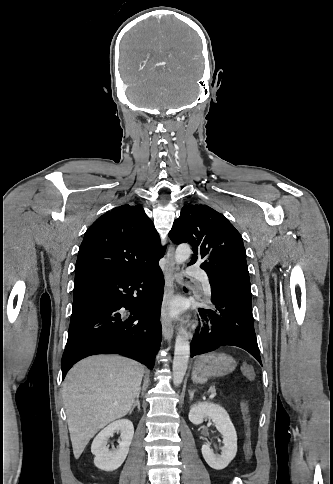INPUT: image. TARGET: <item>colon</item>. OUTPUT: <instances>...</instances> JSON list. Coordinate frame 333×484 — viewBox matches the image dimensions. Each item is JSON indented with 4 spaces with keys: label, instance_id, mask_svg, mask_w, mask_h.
Instances as JSON below:
<instances>
[{
    "label": "colon",
    "instance_id": "1",
    "mask_svg": "<svg viewBox=\"0 0 333 484\" xmlns=\"http://www.w3.org/2000/svg\"><path fill=\"white\" fill-rule=\"evenodd\" d=\"M243 375L249 379L253 380L255 377L254 369L251 365L244 363L241 367ZM242 413L244 417L245 426V441H244V453L246 461H249L252 457V447H251V430H250V413L249 406L246 401L241 403Z\"/></svg>",
    "mask_w": 333,
    "mask_h": 484
}]
</instances>
